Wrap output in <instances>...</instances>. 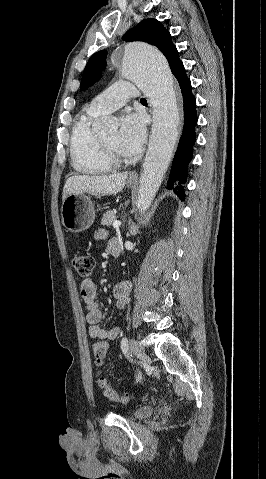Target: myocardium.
Returning a JSON list of instances; mask_svg holds the SVG:
<instances>
[{"label":"myocardium","mask_w":266,"mask_h":479,"mask_svg":"<svg viewBox=\"0 0 266 479\" xmlns=\"http://www.w3.org/2000/svg\"><path fill=\"white\" fill-rule=\"evenodd\" d=\"M99 142L105 159L113 166L118 167L126 162L125 158L116 153L109 144L99 135Z\"/></svg>","instance_id":"obj_1"}]
</instances>
